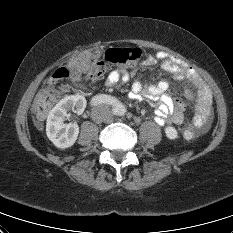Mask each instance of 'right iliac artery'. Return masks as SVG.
Masks as SVG:
<instances>
[{"instance_id":"1","label":"right iliac artery","mask_w":233,"mask_h":233,"mask_svg":"<svg viewBox=\"0 0 233 233\" xmlns=\"http://www.w3.org/2000/svg\"><path fill=\"white\" fill-rule=\"evenodd\" d=\"M117 103V100L109 95L100 94L96 95L91 99L90 105L91 106H97L100 104H109L112 106H115Z\"/></svg>"}]
</instances>
